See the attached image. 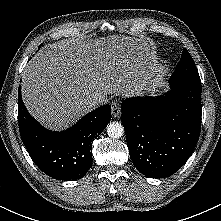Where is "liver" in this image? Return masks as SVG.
<instances>
[{
    "mask_svg": "<svg viewBox=\"0 0 221 221\" xmlns=\"http://www.w3.org/2000/svg\"><path fill=\"white\" fill-rule=\"evenodd\" d=\"M155 61L148 40L111 35L72 38L43 47L22 74V97L30 114L51 130L75 123L93 107L88 99L130 95Z\"/></svg>",
    "mask_w": 221,
    "mask_h": 221,
    "instance_id": "liver-1",
    "label": "liver"
}]
</instances>
